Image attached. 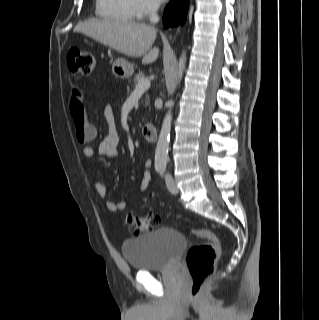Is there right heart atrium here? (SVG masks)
Returning <instances> with one entry per match:
<instances>
[{
  "label": "right heart atrium",
  "mask_w": 319,
  "mask_h": 320,
  "mask_svg": "<svg viewBox=\"0 0 319 320\" xmlns=\"http://www.w3.org/2000/svg\"><path fill=\"white\" fill-rule=\"evenodd\" d=\"M134 17L145 18L159 9V0H129Z\"/></svg>",
  "instance_id": "right-heart-atrium-1"
}]
</instances>
